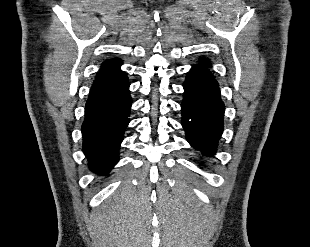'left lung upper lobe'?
<instances>
[{
    "label": "left lung upper lobe",
    "instance_id": "left-lung-upper-lobe-1",
    "mask_svg": "<svg viewBox=\"0 0 310 247\" xmlns=\"http://www.w3.org/2000/svg\"><path fill=\"white\" fill-rule=\"evenodd\" d=\"M200 63H201L202 65H205V66L210 67V61H209L208 59H206V58H201V59H200Z\"/></svg>",
    "mask_w": 310,
    "mask_h": 247
}]
</instances>
